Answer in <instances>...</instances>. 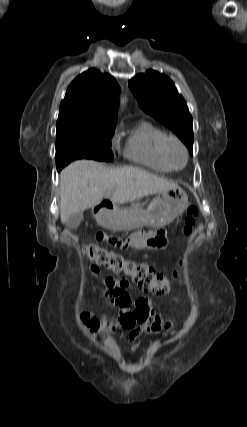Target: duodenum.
I'll use <instances>...</instances> for the list:
<instances>
[{
  "mask_svg": "<svg viewBox=\"0 0 247 427\" xmlns=\"http://www.w3.org/2000/svg\"><path fill=\"white\" fill-rule=\"evenodd\" d=\"M112 209V205L111 204H109V203H107V202H103V203H101L99 206H98V211L99 212H102V213H104V212H108V211H110Z\"/></svg>",
  "mask_w": 247,
  "mask_h": 427,
  "instance_id": "1",
  "label": "duodenum"
}]
</instances>
